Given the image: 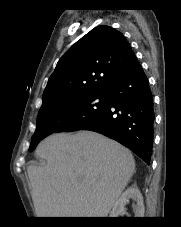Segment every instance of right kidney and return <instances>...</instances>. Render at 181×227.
Segmentation results:
<instances>
[{"mask_svg": "<svg viewBox=\"0 0 181 227\" xmlns=\"http://www.w3.org/2000/svg\"><path fill=\"white\" fill-rule=\"evenodd\" d=\"M129 199L136 202V205L133 207L135 217H144L143 196L136 185H132L123 192L115 202L109 217H119L125 211V205L129 202Z\"/></svg>", "mask_w": 181, "mask_h": 227, "instance_id": "obj_1", "label": "right kidney"}]
</instances>
